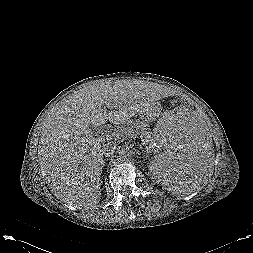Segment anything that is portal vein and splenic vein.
<instances>
[{"mask_svg":"<svg viewBox=\"0 0 253 253\" xmlns=\"http://www.w3.org/2000/svg\"><path fill=\"white\" fill-rule=\"evenodd\" d=\"M108 136L110 137V138H112V137H120V135L119 134H116V133H108ZM140 138H141V140H142V143H143V139H142V137L140 136ZM149 141L148 140H146V144H145V146H146V149H147V147H149V146H151V143H148Z\"/></svg>","mask_w":253,"mask_h":253,"instance_id":"obj_1","label":"portal vein and splenic vein"}]
</instances>
